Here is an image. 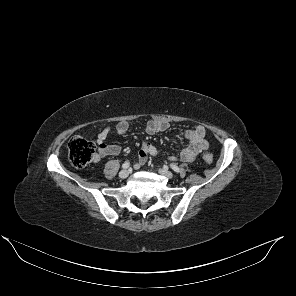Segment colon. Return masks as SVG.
Returning <instances> with one entry per match:
<instances>
[{
    "mask_svg": "<svg viewBox=\"0 0 296 296\" xmlns=\"http://www.w3.org/2000/svg\"><path fill=\"white\" fill-rule=\"evenodd\" d=\"M68 156L73 166L83 168L97 159L96 145L82 137L75 136L68 143ZM203 160L211 164L213 156L211 153H204Z\"/></svg>",
    "mask_w": 296,
    "mask_h": 296,
    "instance_id": "1",
    "label": "colon"
}]
</instances>
